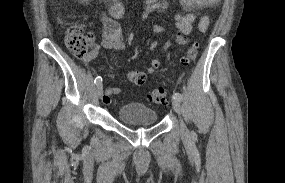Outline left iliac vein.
Segmentation results:
<instances>
[{
    "mask_svg": "<svg viewBox=\"0 0 285 183\" xmlns=\"http://www.w3.org/2000/svg\"><path fill=\"white\" fill-rule=\"evenodd\" d=\"M172 106L174 111L178 114L181 115V104H180V100L174 98L173 102H172ZM181 135L182 136H187L188 135V129L186 128V126L184 125V123H181Z\"/></svg>",
    "mask_w": 285,
    "mask_h": 183,
    "instance_id": "obj_1",
    "label": "left iliac vein"
}]
</instances>
